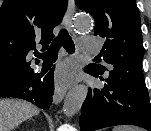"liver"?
<instances>
[{"label": "liver", "mask_w": 151, "mask_h": 131, "mask_svg": "<svg viewBox=\"0 0 151 131\" xmlns=\"http://www.w3.org/2000/svg\"><path fill=\"white\" fill-rule=\"evenodd\" d=\"M32 104L13 99H0V131H13L23 121L37 115Z\"/></svg>", "instance_id": "obj_1"}]
</instances>
